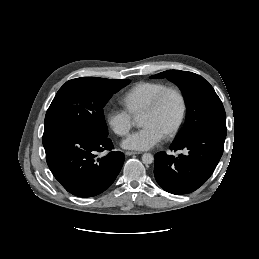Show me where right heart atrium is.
Listing matches in <instances>:
<instances>
[{
    "label": "right heart atrium",
    "instance_id": "1",
    "mask_svg": "<svg viewBox=\"0 0 259 259\" xmlns=\"http://www.w3.org/2000/svg\"><path fill=\"white\" fill-rule=\"evenodd\" d=\"M106 121L111 130L118 136H126L135 121V117L124 108H112L106 113Z\"/></svg>",
    "mask_w": 259,
    "mask_h": 259
}]
</instances>
